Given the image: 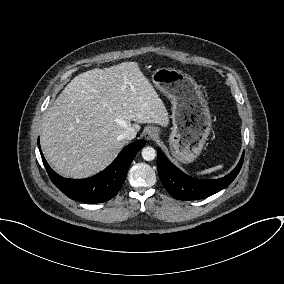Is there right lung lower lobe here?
<instances>
[{
  "instance_id": "right-lung-lower-lobe-1",
  "label": "right lung lower lobe",
  "mask_w": 284,
  "mask_h": 284,
  "mask_svg": "<svg viewBox=\"0 0 284 284\" xmlns=\"http://www.w3.org/2000/svg\"><path fill=\"white\" fill-rule=\"evenodd\" d=\"M145 145L139 140L126 146L102 172L87 179H67L54 172L40 150L43 164L52 182L69 198L85 203H101L112 199L122 187L129 166L137 152ZM38 147L39 140H38Z\"/></svg>"
}]
</instances>
